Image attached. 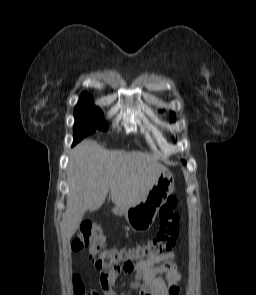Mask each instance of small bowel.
Segmentation results:
<instances>
[{
    "label": "small bowel",
    "mask_w": 256,
    "mask_h": 295,
    "mask_svg": "<svg viewBox=\"0 0 256 295\" xmlns=\"http://www.w3.org/2000/svg\"><path fill=\"white\" fill-rule=\"evenodd\" d=\"M174 258L175 253L171 252L157 259L139 262L125 270L135 274L131 288L137 290L138 295H178L181 274ZM123 270L117 267L100 271L99 285L104 295H121L116 280ZM91 293L99 295L96 291Z\"/></svg>",
    "instance_id": "c3829d8e"
}]
</instances>
